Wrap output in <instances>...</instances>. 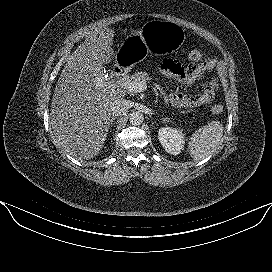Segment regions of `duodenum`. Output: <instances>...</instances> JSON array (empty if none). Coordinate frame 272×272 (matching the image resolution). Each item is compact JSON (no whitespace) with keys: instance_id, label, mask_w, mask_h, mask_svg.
<instances>
[{"instance_id":"1","label":"duodenum","mask_w":272,"mask_h":272,"mask_svg":"<svg viewBox=\"0 0 272 272\" xmlns=\"http://www.w3.org/2000/svg\"><path fill=\"white\" fill-rule=\"evenodd\" d=\"M128 73V69L125 66H118L114 70V78L116 80H121L125 78Z\"/></svg>"}]
</instances>
